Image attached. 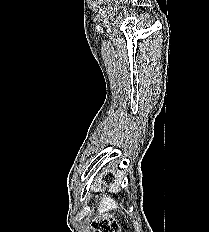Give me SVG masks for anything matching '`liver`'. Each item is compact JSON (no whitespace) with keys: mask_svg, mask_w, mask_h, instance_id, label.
Here are the masks:
<instances>
[{"mask_svg":"<svg viewBox=\"0 0 209 232\" xmlns=\"http://www.w3.org/2000/svg\"><path fill=\"white\" fill-rule=\"evenodd\" d=\"M117 208H118V203H116L115 200L112 199L110 196L108 197L106 195H103V197L100 198V203L98 207V211L100 213H103L109 210H115Z\"/></svg>","mask_w":209,"mask_h":232,"instance_id":"liver-1","label":"liver"}]
</instances>
